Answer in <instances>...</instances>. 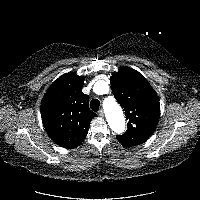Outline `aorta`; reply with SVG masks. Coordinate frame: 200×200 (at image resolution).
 Instances as JSON below:
<instances>
[{"mask_svg":"<svg viewBox=\"0 0 200 200\" xmlns=\"http://www.w3.org/2000/svg\"><path fill=\"white\" fill-rule=\"evenodd\" d=\"M103 107L109 126L115 132L122 133L125 127V120L121 107L113 98L105 99Z\"/></svg>","mask_w":200,"mask_h":200,"instance_id":"1","label":"aorta"}]
</instances>
